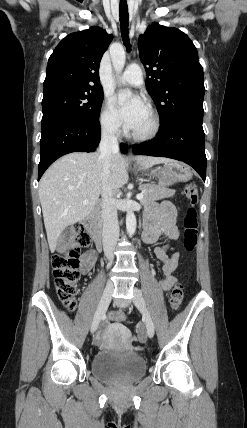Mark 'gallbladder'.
<instances>
[{"mask_svg": "<svg viewBox=\"0 0 247 428\" xmlns=\"http://www.w3.org/2000/svg\"><path fill=\"white\" fill-rule=\"evenodd\" d=\"M58 245L60 244V241H58V243H57Z\"/></svg>", "mask_w": 247, "mask_h": 428, "instance_id": "1", "label": "gallbladder"}]
</instances>
